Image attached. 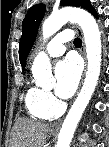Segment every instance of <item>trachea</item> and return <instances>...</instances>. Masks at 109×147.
<instances>
[{
    "mask_svg": "<svg viewBox=\"0 0 109 147\" xmlns=\"http://www.w3.org/2000/svg\"><path fill=\"white\" fill-rule=\"evenodd\" d=\"M74 44H75V45H81V44H82L81 39H80V38H75Z\"/></svg>",
    "mask_w": 109,
    "mask_h": 147,
    "instance_id": "1",
    "label": "trachea"
}]
</instances>
